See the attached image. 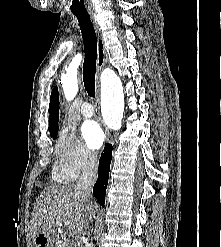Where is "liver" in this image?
<instances>
[{"instance_id": "1", "label": "liver", "mask_w": 221, "mask_h": 247, "mask_svg": "<svg viewBox=\"0 0 221 247\" xmlns=\"http://www.w3.org/2000/svg\"><path fill=\"white\" fill-rule=\"evenodd\" d=\"M93 213L96 206L91 203ZM89 209L75 186H50L37 198L31 218V236L64 224L75 236L89 233Z\"/></svg>"}]
</instances>
